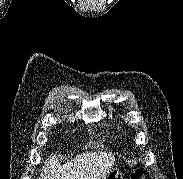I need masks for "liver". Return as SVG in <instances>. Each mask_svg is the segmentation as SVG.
Returning <instances> with one entry per match:
<instances>
[{
    "label": "liver",
    "mask_w": 183,
    "mask_h": 179,
    "mask_svg": "<svg viewBox=\"0 0 183 179\" xmlns=\"http://www.w3.org/2000/svg\"><path fill=\"white\" fill-rule=\"evenodd\" d=\"M115 156L106 152H86L60 165L56 155L45 164L39 179H106L113 168Z\"/></svg>",
    "instance_id": "1"
}]
</instances>
